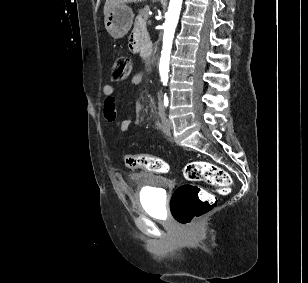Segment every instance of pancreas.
Here are the masks:
<instances>
[{"label": "pancreas", "instance_id": "pancreas-1", "mask_svg": "<svg viewBox=\"0 0 308 283\" xmlns=\"http://www.w3.org/2000/svg\"><path fill=\"white\" fill-rule=\"evenodd\" d=\"M150 8L149 6H145L143 9H140L138 11L139 15L142 16L145 20H147L149 18V12Z\"/></svg>", "mask_w": 308, "mask_h": 283}]
</instances>
